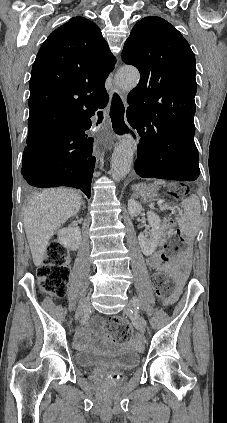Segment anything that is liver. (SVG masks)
<instances>
[{
	"mask_svg": "<svg viewBox=\"0 0 227 423\" xmlns=\"http://www.w3.org/2000/svg\"><path fill=\"white\" fill-rule=\"evenodd\" d=\"M76 190L56 188L32 194L24 208V229L35 265L43 263L49 239L56 229L81 208Z\"/></svg>",
	"mask_w": 227,
	"mask_h": 423,
	"instance_id": "obj_1",
	"label": "liver"
}]
</instances>
